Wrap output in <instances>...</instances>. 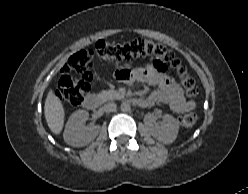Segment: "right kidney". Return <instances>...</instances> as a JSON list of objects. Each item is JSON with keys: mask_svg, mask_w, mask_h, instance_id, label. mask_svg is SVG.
<instances>
[{"mask_svg": "<svg viewBox=\"0 0 248 194\" xmlns=\"http://www.w3.org/2000/svg\"><path fill=\"white\" fill-rule=\"evenodd\" d=\"M89 113L85 110L74 112L67 121L63 134L64 141L73 147H83L92 142L99 134L100 126L93 125L89 129H84V123L88 119Z\"/></svg>", "mask_w": 248, "mask_h": 194, "instance_id": "1", "label": "right kidney"}]
</instances>
